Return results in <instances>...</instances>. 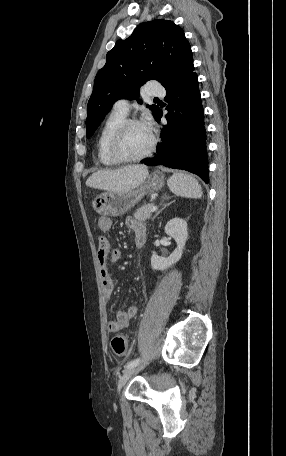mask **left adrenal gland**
I'll list each match as a JSON object with an SVG mask.
<instances>
[{
	"label": "left adrenal gland",
	"mask_w": 286,
	"mask_h": 456,
	"mask_svg": "<svg viewBox=\"0 0 286 456\" xmlns=\"http://www.w3.org/2000/svg\"><path fill=\"white\" fill-rule=\"evenodd\" d=\"M167 199H168V198H167ZM171 203H173V201H172V202H169V203H166V204H165V205H164V206L155 214V216L153 217V220H154V219H155V218H156V217H157V216H158V215H159L167 206H169Z\"/></svg>",
	"instance_id": "a2214340"
}]
</instances>
